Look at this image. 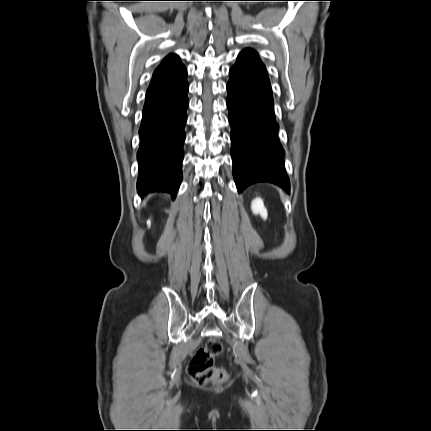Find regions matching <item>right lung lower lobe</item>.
Returning <instances> with one entry per match:
<instances>
[{
    "label": "right lung lower lobe",
    "mask_w": 431,
    "mask_h": 431,
    "mask_svg": "<svg viewBox=\"0 0 431 431\" xmlns=\"http://www.w3.org/2000/svg\"><path fill=\"white\" fill-rule=\"evenodd\" d=\"M187 93L184 76L167 89L146 97L137 153V190L142 196L161 191L176 197L182 181Z\"/></svg>",
    "instance_id": "obj_1"
}]
</instances>
